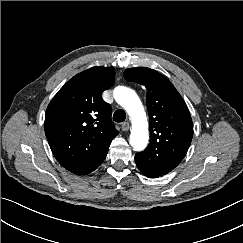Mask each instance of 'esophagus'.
I'll use <instances>...</instances> for the list:
<instances>
[{"label":"esophagus","mask_w":243,"mask_h":243,"mask_svg":"<svg viewBox=\"0 0 243 243\" xmlns=\"http://www.w3.org/2000/svg\"><path fill=\"white\" fill-rule=\"evenodd\" d=\"M123 131H128L130 129V124L128 122H124L121 125Z\"/></svg>","instance_id":"1"}]
</instances>
